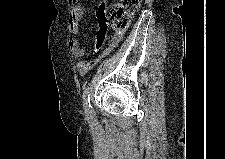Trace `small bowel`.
<instances>
[{
  "instance_id": "obj_1",
  "label": "small bowel",
  "mask_w": 225,
  "mask_h": 159,
  "mask_svg": "<svg viewBox=\"0 0 225 159\" xmlns=\"http://www.w3.org/2000/svg\"><path fill=\"white\" fill-rule=\"evenodd\" d=\"M83 16V7L80 4L73 5L70 12L69 17V28L72 34V37L68 41V47L72 53V55L77 59L76 61V70L79 75L83 76L87 74L93 67V65L96 63L98 58H95L94 60H85L84 57L86 55L85 50L80 47L79 41L77 39L79 35V24ZM107 29L102 28L99 25L97 36H96V43L94 46L93 53L95 54L102 46L105 37H106ZM116 39L115 44L112 45V40ZM120 41V37L116 38L114 35L111 37L110 40V46L109 48L103 53V55L109 53V51L117 45V43Z\"/></svg>"
}]
</instances>
